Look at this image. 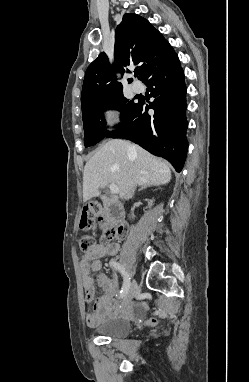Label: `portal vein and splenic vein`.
<instances>
[{
    "mask_svg": "<svg viewBox=\"0 0 249 382\" xmlns=\"http://www.w3.org/2000/svg\"><path fill=\"white\" fill-rule=\"evenodd\" d=\"M109 188H110V190H111V192H112L113 194H118V193H119V188H118L117 185H115L114 183H111V184L109 185Z\"/></svg>",
    "mask_w": 249,
    "mask_h": 382,
    "instance_id": "18ae733b",
    "label": "portal vein and splenic vein"
}]
</instances>
